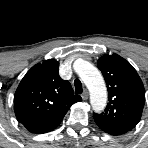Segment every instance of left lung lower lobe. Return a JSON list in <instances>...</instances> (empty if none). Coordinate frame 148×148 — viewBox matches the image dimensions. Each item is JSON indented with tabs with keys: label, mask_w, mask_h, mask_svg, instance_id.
<instances>
[{
	"label": "left lung lower lobe",
	"mask_w": 148,
	"mask_h": 148,
	"mask_svg": "<svg viewBox=\"0 0 148 148\" xmlns=\"http://www.w3.org/2000/svg\"><path fill=\"white\" fill-rule=\"evenodd\" d=\"M103 131L109 133V134H112V135H121V134H124V132L120 131V130H116V129H113L112 127H101L99 126Z\"/></svg>",
	"instance_id": "left-lung-lower-lobe-1"
}]
</instances>
